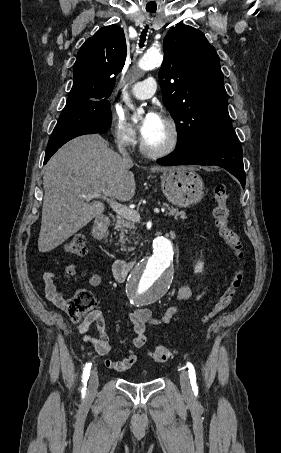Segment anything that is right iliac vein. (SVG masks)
<instances>
[{"mask_svg": "<svg viewBox=\"0 0 281 453\" xmlns=\"http://www.w3.org/2000/svg\"><path fill=\"white\" fill-rule=\"evenodd\" d=\"M93 374H90L89 376V379H90V382H89V392L90 393H95L97 388H98V382H99V379H98V376H97V372L94 370L92 372Z\"/></svg>", "mask_w": 281, "mask_h": 453, "instance_id": "obj_1", "label": "right iliac vein"}]
</instances>
